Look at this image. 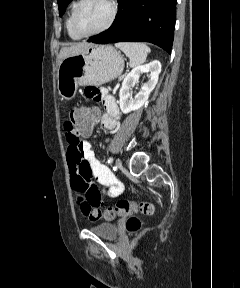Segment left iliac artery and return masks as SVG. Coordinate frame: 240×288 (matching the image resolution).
<instances>
[{
  "instance_id": "1",
  "label": "left iliac artery",
  "mask_w": 240,
  "mask_h": 288,
  "mask_svg": "<svg viewBox=\"0 0 240 288\" xmlns=\"http://www.w3.org/2000/svg\"><path fill=\"white\" fill-rule=\"evenodd\" d=\"M108 163H109V164H112V163H113V157H109Z\"/></svg>"
}]
</instances>
